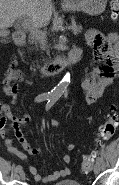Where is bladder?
Listing matches in <instances>:
<instances>
[{
    "mask_svg": "<svg viewBox=\"0 0 119 185\" xmlns=\"http://www.w3.org/2000/svg\"><path fill=\"white\" fill-rule=\"evenodd\" d=\"M54 185H82L79 181L66 179L55 183Z\"/></svg>",
    "mask_w": 119,
    "mask_h": 185,
    "instance_id": "obj_1",
    "label": "bladder"
}]
</instances>
